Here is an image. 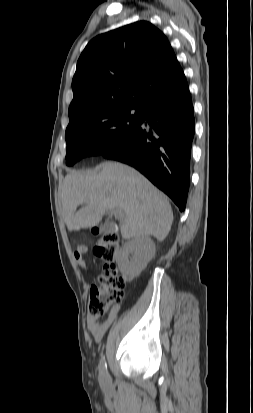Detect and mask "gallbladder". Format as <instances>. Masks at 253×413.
<instances>
[{"label":"gallbladder","mask_w":253,"mask_h":413,"mask_svg":"<svg viewBox=\"0 0 253 413\" xmlns=\"http://www.w3.org/2000/svg\"><path fill=\"white\" fill-rule=\"evenodd\" d=\"M114 229H115V225H114V223H112L110 221H107L102 225V230L104 232H112V231H114Z\"/></svg>","instance_id":"gallbladder-1"}]
</instances>
